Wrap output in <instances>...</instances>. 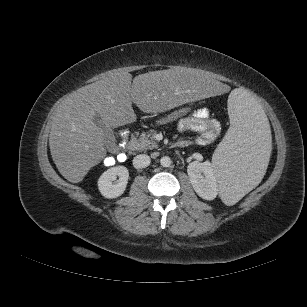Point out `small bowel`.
Wrapping results in <instances>:
<instances>
[{"label": "small bowel", "instance_id": "1", "mask_svg": "<svg viewBox=\"0 0 307 307\" xmlns=\"http://www.w3.org/2000/svg\"><path fill=\"white\" fill-rule=\"evenodd\" d=\"M177 127L181 132L199 133L196 142L200 145L211 143L217 138L221 130L220 123L210 117L209 111L206 108L198 109L190 116L181 119ZM185 142L187 143V141Z\"/></svg>", "mask_w": 307, "mask_h": 307}]
</instances>
